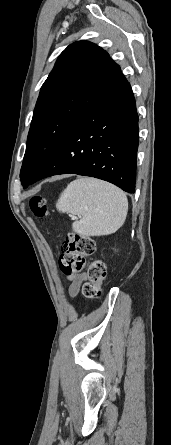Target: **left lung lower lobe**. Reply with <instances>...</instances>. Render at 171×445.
I'll use <instances>...</instances> for the list:
<instances>
[{
    "label": "left lung lower lobe",
    "instance_id": "0a47b994",
    "mask_svg": "<svg viewBox=\"0 0 171 445\" xmlns=\"http://www.w3.org/2000/svg\"><path fill=\"white\" fill-rule=\"evenodd\" d=\"M138 115L128 81L93 105L67 132L27 187L42 178L73 173L134 193Z\"/></svg>",
    "mask_w": 171,
    "mask_h": 445
}]
</instances>
